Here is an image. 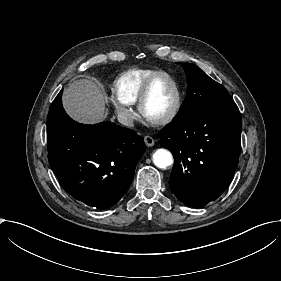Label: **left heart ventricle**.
I'll return each mask as SVG.
<instances>
[{"label": "left heart ventricle", "instance_id": "left-heart-ventricle-1", "mask_svg": "<svg viewBox=\"0 0 281 281\" xmlns=\"http://www.w3.org/2000/svg\"><path fill=\"white\" fill-rule=\"evenodd\" d=\"M174 89L168 80L158 82L144 105L145 113L154 119L166 117L173 106Z\"/></svg>", "mask_w": 281, "mask_h": 281}]
</instances>
